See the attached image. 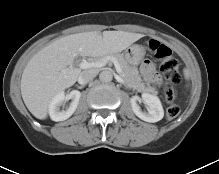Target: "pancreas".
<instances>
[{"mask_svg": "<svg viewBox=\"0 0 219 174\" xmlns=\"http://www.w3.org/2000/svg\"><path fill=\"white\" fill-rule=\"evenodd\" d=\"M107 56L114 57L119 62L122 68V77L130 87L138 91L151 92L154 94L158 93L155 87L146 85L145 83L142 82V79L139 75L137 68L130 66L123 55L108 54Z\"/></svg>", "mask_w": 219, "mask_h": 174, "instance_id": "cf45deb5", "label": "pancreas"}]
</instances>
